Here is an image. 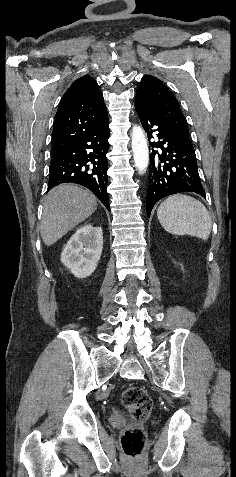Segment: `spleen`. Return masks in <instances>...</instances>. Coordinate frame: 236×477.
Listing matches in <instances>:
<instances>
[{
    "label": "spleen",
    "mask_w": 236,
    "mask_h": 477,
    "mask_svg": "<svg viewBox=\"0 0 236 477\" xmlns=\"http://www.w3.org/2000/svg\"><path fill=\"white\" fill-rule=\"evenodd\" d=\"M162 227L175 235L188 234L208 239L212 221L206 207L191 196L178 194L168 197L157 210Z\"/></svg>",
    "instance_id": "spleen-1"
}]
</instances>
